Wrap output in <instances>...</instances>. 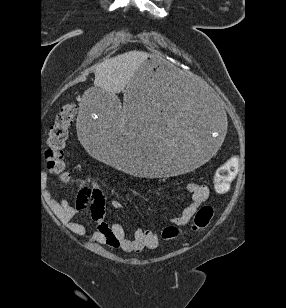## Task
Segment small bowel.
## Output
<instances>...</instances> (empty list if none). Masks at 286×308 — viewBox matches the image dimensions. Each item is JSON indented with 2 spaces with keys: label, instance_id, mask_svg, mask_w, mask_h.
I'll list each match as a JSON object with an SVG mask.
<instances>
[{
  "label": "small bowel",
  "instance_id": "c3829d8e",
  "mask_svg": "<svg viewBox=\"0 0 286 308\" xmlns=\"http://www.w3.org/2000/svg\"><path fill=\"white\" fill-rule=\"evenodd\" d=\"M186 190L191 195V201L179 215L171 220L177 226L188 224L197 209L209 197V188L205 184L189 182L186 185ZM89 200H91L90 215L93 220L98 222L97 230L90 234L94 241L125 252H140L143 249H155L158 246L159 237L151 230L136 229L133 238H128L122 225L119 223L109 225L104 221V193L96 183L84 184L77 195L74 205H70L66 200H53L51 201V206L61 221L74 234L84 236L88 234L86 224L75 222L73 218L85 209ZM110 205L114 209H121L123 207L122 203L117 199H113Z\"/></svg>",
  "mask_w": 286,
  "mask_h": 308
}]
</instances>
